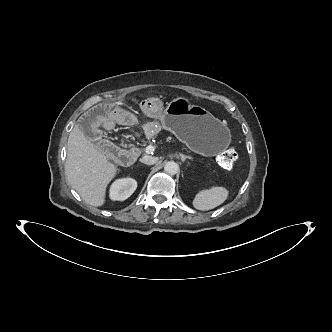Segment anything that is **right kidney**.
Returning <instances> with one entry per match:
<instances>
[{"mask_svg":"<svg viewBox=\"0 0 332 332\" xmlns=\"http://www.w3.org/2000/svg\"><path fill=\"white\" fill-rule=\"evenodd\" d=\"M137 188L136 180L132 178H121L116 180L110 188L112 200L123 201L130 197Z\"/></svg>","mask_w":332,"mask_h":332,"instance_id":"obj_1","label":"right kidney"}]
</instances>
